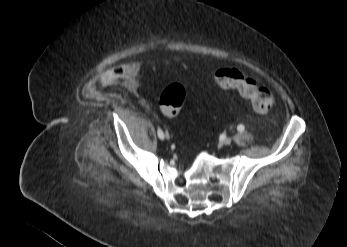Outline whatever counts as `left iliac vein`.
Wrapping results in <instances>:
<instances>
[{"label": "left iliac vein", "mask_w": 347, "mask_h": 247, "mask_svg": "<svg viewBox=\"0 0 347 247\" xmlns=\"http://www.w3.org/2000/svg\"><path fill=\"white\" fill-rule=\"evenodd\" d=\"M222 143H223L224 145H230V144L232 143V139L229 138V137H227V138H225V139L222 141Z\"/></svg>", "instance_id": "left-iliac-vein-1"}]
</instances>
